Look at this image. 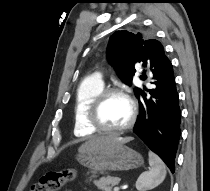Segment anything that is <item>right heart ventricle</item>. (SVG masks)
<instances>
[{"label":"right heart ventricle","instance_id":"1","mask_svg":"<svg viewBox=\"0 0 210 191\" xmlns=\"http://www.w3.org/2000/svg\"><path fill=\"white\" fill-rule=\"evenodd\" d=\"M103 89V82L93 78H87L80 83L74 109V134L76 136L89 137L97 132L88 124L87 112L92 100Z\"/></svg>","mask_w":210,"mask_h":191}]
</instances>
